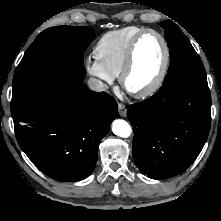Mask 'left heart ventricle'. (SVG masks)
<instances>
[{"mask_svg": "<svg viewBox=\"0 0 221 221\" xmlns=\"http://www.w3.org/2000/svg\"><path fill=\"white\" fill-rule=\"evenodd\" d=\"M164 58V50L159 38L153 34L145 35L138 43L132 70L127 86L132 91L147 88L156 79Z\"/></svg>", "mask_w": 221, "mask_h": 221, "instance_id": "obj_1", "label": "left heart ventricle"}]
</instances>
